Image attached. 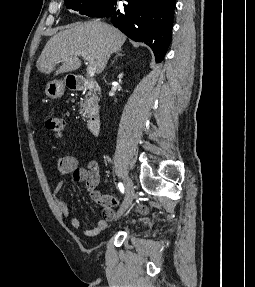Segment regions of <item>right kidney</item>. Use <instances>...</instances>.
I'll return each instance as SVG.
<instances>
[{
  "label": "right kidney",
  "instance_id": "1",
  "mask_svg": "<svg viewBox=\"0 0 255 287\" xmlns=\"http://www.w3.org/2000/svg\"><path fill=\"white\" fill-rule=\"evenodd\" d=\"M123 74H119L118 78H122ZM121 82V80H119Z\"/></svg>",
  "mask_w": 255,
  "mask_h": 287
}]
</instances>
